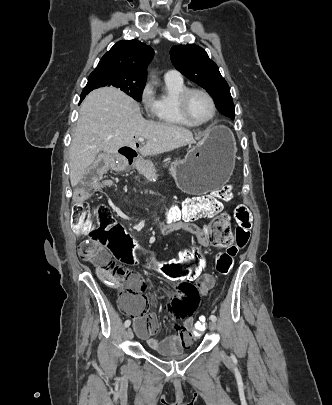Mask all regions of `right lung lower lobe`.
<instances>
[{"label": "right lung lower lobe", "mask_w": 332, "mask_h": 405, "mask_svg": "<svg viewBox=\"0 0 332 405\" xmlns=\"http://www.w3.org/2000/svg\"><path fill=\"white\" fill-rule=\"evenodd\" d=\"M88 93H89V91H84V90H83V92H82V94H81V97H80V103H81V101L85 98V96H86Z\"/></svg>", "instance_id": "1"}]
</instances>
